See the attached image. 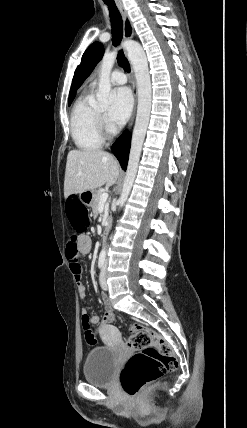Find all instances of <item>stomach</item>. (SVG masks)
I'll return each instance as SVG.
<instances>
[{
    "instance_id": "obj_1",
    "label": "stomach",
    "mask_w": 247,
    "mask_h": 428,
    "mask_svg": "<svg viewBox=\"0 0 247 428\" xmlns=\"http://www.w3.org/2000/svg\"><path fill=\"white\" fill-rule=\"evenodd\" d=\"M80 196H83V198H85V200H83V198L81 199L83 200V202L86 203V205L91 206L94 200L95 190L85 191L81 193Z\"/></svg>"
}]
</instances>
